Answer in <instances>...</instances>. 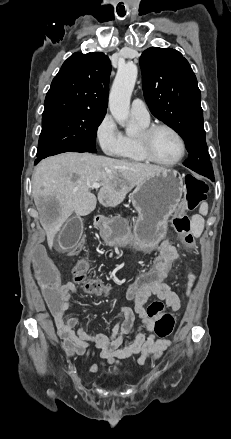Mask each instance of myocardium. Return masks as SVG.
Segmentation results:
<instances>
[{
	"label": "myocardium",
	"mask_w": 231,
	"mask_h": 439,
	"mask_svg": "<svg viewBox=\"0 0 231 439\" xmlns=\"http://www.w3.org/2000/svg\"><path fill=\"white\" fill-rule=\"evenodd\" d=\"M168 130L169 132H171L179 141L180 144V154L179 156L170 162H163L158 160L152 153L151 150V145H150V140L152 135L158 131V130ZM136 141H137V145L138 148L140 150V152L142 153V155L144 156V158L149 161L152 162L154 164H157L159 166H163V167H172L177 165L178 163H180L185 154H186V143L184 138L182 137V135L172 126L168 125V124H164V123H158V124H151L148 125L142 129L139 130L138 134L136 135Z\"/></svg>",
	"instance_id": "obj_1"
}]
</instances>
